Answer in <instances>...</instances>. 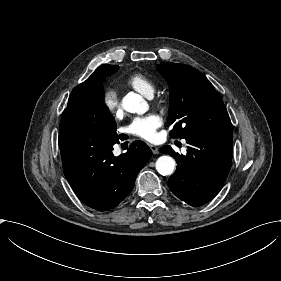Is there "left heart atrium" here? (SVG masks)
<instances>
[{
    "label": "left heart atrium",
    "mask_w": 281,
    "mask_h": 281,
    "mask_svg": "<svg viewBox=\"0 0 281 281\" xmlns=\"http://www.w3.org/2000/svg\"><path fill=\"white\" fill-rule=\"evenodd\" d=\"M162 125V117L155 112H151L144 116L135 117L126 128L133 136L147 141H156L159 137L157 130Z\"/></svg>",
    "instance_id": "39dd6f15"
}]
</instances>
